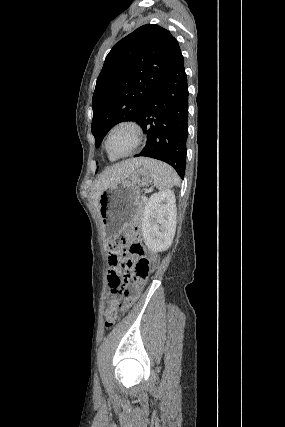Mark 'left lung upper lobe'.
Wrapping results in <instances>:
<instances>
[{
    "label": "left lung upper lobe",
    "mask_w": 285,
    "mask_h": 427,
    "mask_svg": "<svg viewBox=\"0 0 285 427\" xmlns=\"http://www.w3.org/2000/svg\"><path fill=\"white\" fill-rule=\"evenodd\" d=\"M181 50L171 33L156 25L139 27L108 53L92 99V134L99 147L116 124L138 120Z\"/></svg>",
    "instance_id": "obj_1"
}]
</instances>
